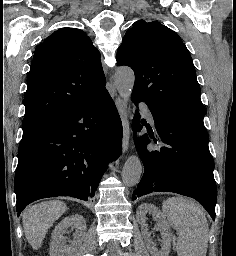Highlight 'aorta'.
<instances>
[{"label": "aorta", "instance_id": "aorta-1", "mask_svg": "<svg viewBox=\"0 0 236 256\" xmlns=\"http://www.w3.org/2000/svg\"><path fill=\"white\" fill-rule=\"evenodd\" d=\"M135 75L131 68L120 67L115 72V85L123 98L127 103L131 97V93L134 87ZM142 165L137 155H131L126 160L122 170V181L124 185L131 187L135 186L141 178Z\"/></svg>", "mask_w": 236, "mask_h": 256}]
</instances>
